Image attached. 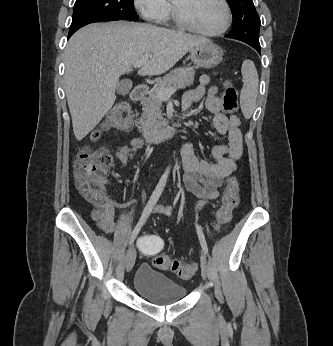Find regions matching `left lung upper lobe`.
Wrapping results in <instances>:
<instances>
[{
    "label": "left lung upper lobe",
    "instance_id": "obj_1",
    "mask_svg": "<svg viewBox=\"0 0 333 346\" xmlns=\"http://www.w3.org/2000/svg\"><path fill=\"white\" fill-rule=\"evenodd\" d=\"M233 13L234 23L228 38L245 43H259L260 18L252 0H227Z\"/></svg>",
    "mask_w": 333,
    "mask_h": 346
}]
</instances>
